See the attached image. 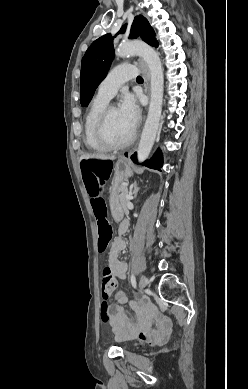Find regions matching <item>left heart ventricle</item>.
<instances>
[{
    "instance_id": "left-heart-ventricle-1",
    "label": "left heart ventricle",
    "mask_w": 248,
    "mask_h": 389,
    "mask_svg": "<svg viewBox=\"0 0 248 389\" xmlns=\"http://www.w3.org/2000/svg\"><path fill=\"white\" fill-rule=\"evenodd\" d=\"M133 128L124 119L118 107L111 110L108 123L109 137L116 142H122L132 133Z\"/></svg>"
}]
</instances>
